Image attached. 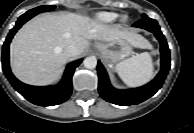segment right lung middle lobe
<instances>
[{
  "instance_id": "dd1d6c3e",
  "label": "right lung middle lobe",
  "mask_w": 194,
  "mask_h": 133,
  "mask_svg": "<svg viewBox=\"0 0 194 133\" xmlns=\"http://www.w3.org/2000/svg\"><path fill=\"white\" fill-rule=\"evenodd\" d=\"M54 9H55V6H49V5L39 6V7H36L34 9H31V10L27 11L26 14H31V15L35 16L38 13H41V12H44V11H51V10H54Z\"/></svg>"
}]
</instances>
